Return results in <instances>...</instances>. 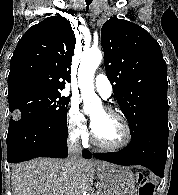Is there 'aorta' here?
<instances>
[{"label": "aorta", "instance_id": "762f6f07", "mask_svg": "<svg viewBox=\"0 0 178 195\" xmlns=\"http://www.w3.org/2000/svg\"><path fill=\"white\" fill-rule=\"evenodd\" d=\"M102 60V52L93 49L82 55L78 69V84L84 102V112L90 113L92 107L100 106L101 101L94 91V74Z\"/></svg>", "mask_w": 178, "mask_h": 195}]
</instances>
